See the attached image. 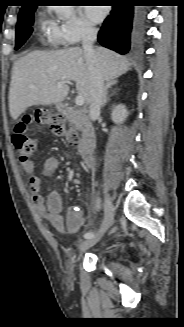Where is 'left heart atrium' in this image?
<instances>
[{"label":"left heart atrium","mask_w":184,"mask_h":327,"mask_svg":"<svg viewBox=\"0 0 184 327\" xmlns=\"http://www.w3.org/2000/svg\"><path fill=\"white\" fill-rule=\"evenodd\" d=\"M106 14V10L103 7L93 6L87 8V16L93 22H100Z\"/></svg>","instance_id":"1"}]
</instances>
